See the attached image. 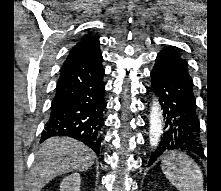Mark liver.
I'll use <instances>...</instances> for the list:
<instances>
[{"mask_svg":"<svg viewBox=\"0 0 221 191\" xmlns=\"http://www.w3.org/2000/svg\"><path fill=\"white\" fill-rule=\"evenodd\" d=\"M36 158L29 178L30 191H41L50 180L61 174L88 170L95 154L75 139L52 137L41 145Z\"/></svg>","mask_w":221,"mask_h":191,"instance_id":"1","label":"liver"}]
</instances>
